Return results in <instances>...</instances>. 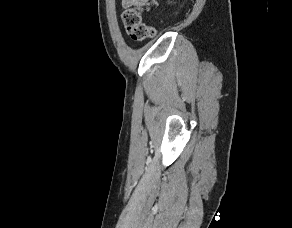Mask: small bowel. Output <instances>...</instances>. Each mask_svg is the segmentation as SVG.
<instances>
[{"instance_id": "1", "label": "small bowel", "mask_w": 292, "mask_h": 228, "mask_svg": "<svg viewBox=\"0 0 292 228\" xmlns=\"http://www.w3.org/2000/svg\"><path fill=\"white\" fill-rule=\"evenodd\" d=\"M147 0H122L123 7H130L136 4H144Z\"/></svg>"}]
</instances>
